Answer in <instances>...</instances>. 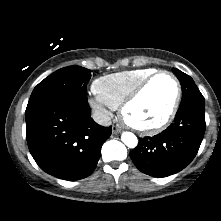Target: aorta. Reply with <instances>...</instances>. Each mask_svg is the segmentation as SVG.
Returning <instances> with one entry per match:
<instances>
[{
    "label": "aorta",
    "instance_id": "1",
    "mask_svg": "<svg viewBox=\"0 0 221 221\" xmlns=\"http://www.w3.org/2000/svg\"><path fill=\"white\" fill-rule=\"evenodd\" d=\"M121 140L129 148H135L138 144L137 137L131 132H123Z\"/></svg>",
    "mask_w": 221,
    "mask_h": 221
}]
</instances>
